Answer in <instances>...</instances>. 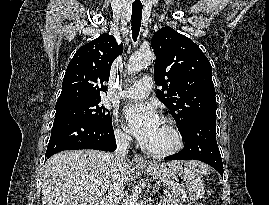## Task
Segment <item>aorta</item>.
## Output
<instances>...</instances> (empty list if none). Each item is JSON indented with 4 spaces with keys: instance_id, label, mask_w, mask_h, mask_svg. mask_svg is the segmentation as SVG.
Instances as JSON below:
<instances>
[{
    "instance_id": "aorta-1",
    "label": "aorta",
    "mask_w": 269,
    "mask_h": 205,
    "mask_svg": "<svg viewBox=\"0 0 269 205\" xmlns=\"http://www.w3.org/2000/svg\"><path fill=\"white\" fill-rule=\"evenodd\" d=\"M155 59V55L151 50H139L135 52L129 60L128 71L135 73L141 70L144 66L150 65ZM142 188L136 186L132 193L126 198L123 205H138V200Z\"/></svg>"
}]
</instances>
